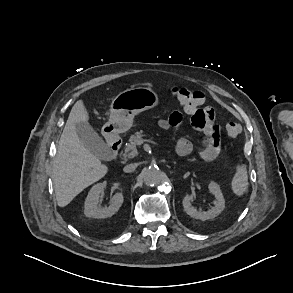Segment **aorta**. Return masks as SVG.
I'll return each mask as SVG.
<instances>
[{
  "label": "aorta",
  "instance_id": "762f6f07",
  "mask_svg": "<svg viewBox=\"0 0 293 293\" xmlns=\"http://www.w3.org/2000/svg\"><path fill=\"white\" fill-rule=\"evenodd\" d=\"M143 179L146 185L154 186L162 179V172L158 167H149L143 171Z\"/></svg>",
  "mask_w": 293,
  "mask_h": 293
}]
</instances>
